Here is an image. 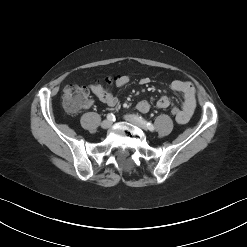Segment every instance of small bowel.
Here are the masks:
<instances>
[{
    "mask_svg": "<svg viewBox=\"0 0 247 247\" xmlns=\"http://www.w3.org/2000/svg\"><path fill=\"white\" fill-rule=\"evenodd\" d=\"M129 83V78L127 76H121L117 80L118 86H125ZM142 85H146L150 83V79L148 77H143L140 80ZM170 88L172 91L180 94L182 96V106L180 109V114L176 118L177 123L186 124L196 107V93L195 88L191 82L183 81V80H174L170 84ZM90 91L96 96V98L109 107H114L117 104L116 97L109 92L104 87L98 84H90ZM92 103L91 100L87 102L86 105H90ZM170 99L166 96L160 97L156 102V107L158 109H166L170 106ZM151 108L150 103L147 100H140L136 104V109L142 113L149 112Z\"/></svg>",
    "mask_w": 247,
    "mask_h": 247,
    "instance_id": "small-bowel-1",
    "label": "small bowel"
}]
</instances>
